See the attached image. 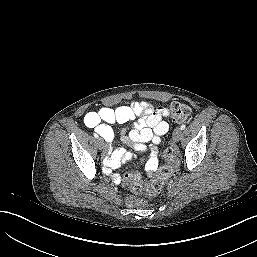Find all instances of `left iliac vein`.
Listing matches in <instances>:
<instances>
[{"label":"left iliac vein","mask_w":257,"mask_h":257,"mask_svg":"<svg viewBox=\"0 0 257 257\" xmlns=\"http://www.w3.org/2000/svg\"><path fill=\"white\" fill-rule=\"evenodd\" d=\"M181 136H182V130H181V128H176V129L174 130V132H173V139H174L175 141H178V140L181 138Z\"/></svg>","instance_id":"obj_1"}]
</instances>
